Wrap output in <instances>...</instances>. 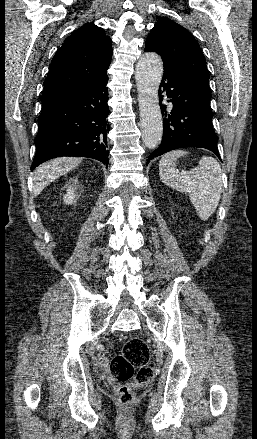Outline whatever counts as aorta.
Wrapping results in <instances>:
<instances>
[{"mask_svg":"<svg viewBox=\"0 0 257 439\" xmlns=\"http://www.w3.org/2000/svg\"><path fill=\"white\" fill-rule=\"evenodd\" d=\"M162 75L163 62L161 57L154 52L142 55L136 65L135 80L138 90L142 141L149 149L158 146L163 133L158 98Z\"/></svg>","mask_w":257,"mask_h":439,"instance_id":"aorta-1","label":"aorta"}]
</instances>
